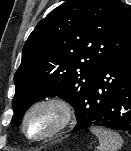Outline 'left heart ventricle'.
Segmentation results:
<instances>
[{
	"label": "left heart ventricle",
	"mask_w": 131,
	"mask_h": 151,
	"mask_svg": "<svg viewBox=\"0 0 131 151\" xmlns=\"http://www.w3.org/2000/svg\"><path fill=\"white\" fill-rule=\"evenodd\" d=\"M58 116L54 110L39 109L27 121L26 129L30 136L38 137L47 133L57 122Z\"/></svg>",
	"instance_id": "b2bd125f"
}]
</instances>
